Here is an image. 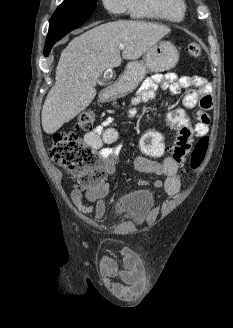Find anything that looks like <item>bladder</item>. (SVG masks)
<instances>
[{"label": "bladder", "instance_id": "31cf9c89", "mask_svg": "<svg viewBox=\"0 0 233 328\" xmlns=\"http://www.w3.org/2000/svg\"><path fill=\"white\" fill-rule=\"evenodd\" d=\"M155 198L152 192L136 190L125 195L119 203V212L134 221L144 219L154 207Z\"/></svg>", "mask_w": 233, "mask_h": 328}]
</instances>
